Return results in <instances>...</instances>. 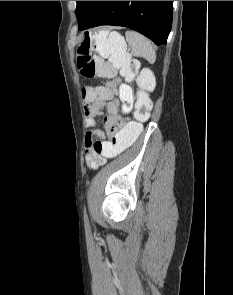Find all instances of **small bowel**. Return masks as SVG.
I'll return each mask as SVG.
<instances>
[{
	"mask_svg": "<svg viewBox=\"0 0 233 295\" xmlns=\"http://www.w3.org/2000/svg\"><path fill=\"white\" fill-rule=\"evenodd\" d=\"M85 124L89 128L97 125V118L102 110H107L103 125L109 131L111 128H121L132 110L134 96L132 88L127 83H121L117 90L114 84L105 87V93L98 97L84 98ZM99 138L105 141V134L101 130L90 131L85 138V163L88 168L95 170L106 163L107 157L97 153L92 148V141Z\"/></svg>",
	"mask_w": 233,
	"mask_h": 295,
	"instance_id": "small-bowel-1",
	"label": "small bowel"
}]
</instances>
